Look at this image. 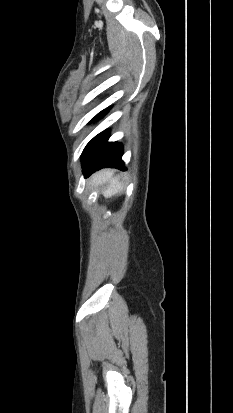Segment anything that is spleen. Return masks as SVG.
<instances>
[{
  "mask_svg": "<svg viewBox=\"0 0 233 413\" xmlns=\"http://www.w3.org/2000/svg\"><path fill=\"white\" fill-rule=\"evenodd\" d=\"M104 182L109 184L108 187L103 190V195L106 198L117 194L123 189V185L120 183L119 177L106 178L104 179Z\"/></svg>",
  "mask_w": 233,
  "mask_h": 413,
  "instance_id": "spleen-1",
  "label": "spleen"
}]
</instances>
